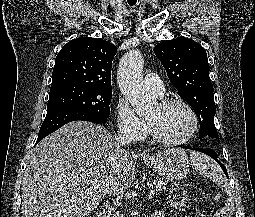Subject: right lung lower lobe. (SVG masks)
<instances>
[{"label": "right lung lower lobe", "mask_w": 255, "mask_h": 217, "mask_svg": "<svg viewBox=\"0 0 255 217\" xmlns=\"http://www.w3.org/2000/svg\"><path fill=\"white\" fill-rule=\"evenodd\" d=\"M107 118H102L92 113L68 108V107H54L47 109L46 118L40 128L37 141L35 145L47 135L58 130L63 125L71 121L82 120L92 123H104Z\"/></svg>", "instance_id": "right-lung-lower-lobe-1"}]
</instances>
